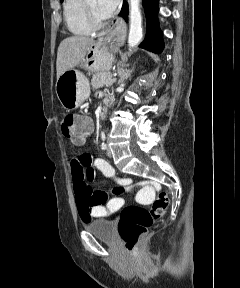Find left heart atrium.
Masks as SVG:
<instances>
[{
  "label": "left heart atrium",
  "instance_id": "obj_1",
  "mask_svg": "<svg viewBox=\"0 0 240 288\" xmlns=\"http://www.w3.org/2000/svg\"><path fill=\"white\" fill-rule=\"evenodd\" d=\"M119 3L120 0H97V10L103 18H108L114 13Z\"/></svg>",
  "mask_w": 240,
  "mask_h": 288
}]
</instances>
